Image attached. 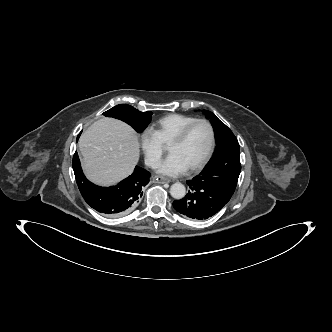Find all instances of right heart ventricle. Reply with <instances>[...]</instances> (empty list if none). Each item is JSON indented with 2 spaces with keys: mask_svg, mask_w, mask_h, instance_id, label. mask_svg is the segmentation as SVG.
<instances>
[{
  "mask_svg": "<svg viewBox=\"0 0 332 332\" xmlns=\"http://www.w3.org/2000/svg\"><path fill=\"white\" fill-rule=\"evenodd\" d=\"M195 119L194 116L184 114H168L158 119L151 130L162 144L167 145L186 124Z\"/></svg>",
  "mask_w": 332,
  "mask_h": 332,
  "instance_id": "1",
  "label": "right heart ventricle"
}]
</instances>
